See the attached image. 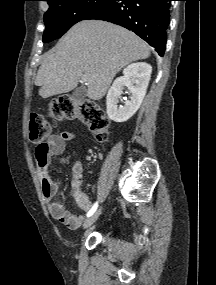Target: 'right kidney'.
Returning <instances> with one entry per match:
<instances>
[{
	"label": "right kidney",
	"mask_w": 216,
	"mask_h": 285,
	"mask_svg": "<svg viewBox=\"0 0 216 285\" xmlns=\"http://www.w3.org/2000/svg\"><path fill=\"white\" fill-rule=\"evenodd\" d=\"M151 73V65L145 62L133 63L123 70V76L113 82L107 93L106 106L109 119L125 122L136 113L145 97ZM124 87H127L131 93L130 100H126L124 106L118 107Z\"/></svg>",
	"instance_id": "ca27d5eb"
}]
</instances>
